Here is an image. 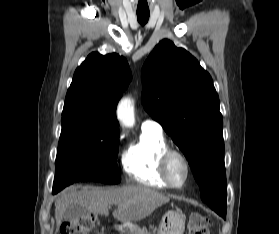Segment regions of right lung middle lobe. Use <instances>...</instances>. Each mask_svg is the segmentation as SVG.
<instances>
[{"mask_svg": "<svg viewBox=\"0 0 279 234\" xmlns=\"http://www.w3.org/2000/svg\"><path fill=\"white\" fill-rule=\"evenodd\" d=\"M53 194L76 181H121L116 163L119 131L98 129L91 120L62 118Z\"/></svg>", "mask_w": 279, "mask_h": 234, "instance_id": "dd1d6c3e", "label": "right lung middle lobe"}]
</instances>
